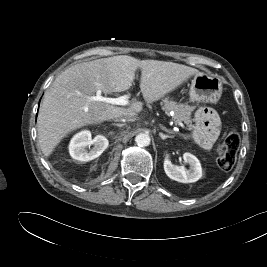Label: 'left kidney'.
<instances>
[{
    "instance_id": "obj_1",
    "label": "left kidney",
    "mask_w": 267,
    "mask_h": 267,
    "mask_svg": "<svg viewBox=\"0 0 267 267\" xmlns=\"http://www.w3.org/2000/svg\"><path fill=\"white\" fill-rule=\"evenodd\" d=\"M183 159L186 164L190 165V169H186L185 166L173 165L169 159V154H166L164 159V171L166 175L170 179L181 183L198 181L202 177V167L197 157L186 152L183 154Z\"/></svg>"
}]
</instances>
